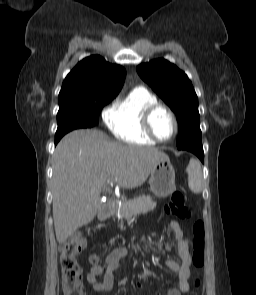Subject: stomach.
Here are the masks:
<instances>
[{
    "label": "stomach",
    "instance_id": "0dacf381",
    "mask_svg": "<svg viewBox=\"0 0 256 295\" xmlns=\"http://www.w3.org/2000/svg\"><path fill=\"white\" fill-rule=\"evenodd\" d=\"M150 189L154 196L164 198L176 190L175 169L169 158L161 159L151 172Z\"/></svg>",
    "mask_w": 256,
    "mask_h": 295
}]
</instances>
